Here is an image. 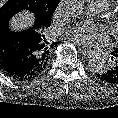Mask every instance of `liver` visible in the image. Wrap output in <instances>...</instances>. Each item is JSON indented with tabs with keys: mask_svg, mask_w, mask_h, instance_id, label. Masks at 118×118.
<instances>
[{
	"mask_svg": "<svg viewBox=\"0 0 118 118\" xmlns=\"http://www.w3.org/2000/svg\"><path fill=\"white\" fill-rule=\"evenodd\" d=\"M32 24V16L27 13L23 12L22 14L16 16L12 22L11 25L14 29H25L28 27V25Z\"/></svg>",
	"mask_w": 118,
	"mask_h": 118,
	"instance_id": "6515ba94",
	"label": "liver"
}]
</instances>
